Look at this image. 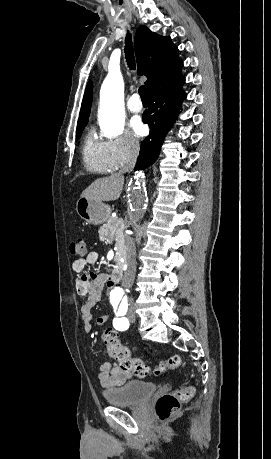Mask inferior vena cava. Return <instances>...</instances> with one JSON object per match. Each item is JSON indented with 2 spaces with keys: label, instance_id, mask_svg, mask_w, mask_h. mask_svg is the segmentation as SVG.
I'll use <instances>...</instances> for the list:
<instances>
[{
  "label": "inferior vena cava",
  "instance_id": "1",
  "mask_svg": "<svg viewBox=\"0 0 271 459\" xmlns=\"http://www.w3.org/2000/svg\"><path fill=\"white\" fill-rule=\"evenodd\" d=\"M134 166H135V162H128V164H125L123 168H120L119 174H125V172H131ZM127 275H129V271H126L124 275L123 285H125V287H131L133 279H130V277L129 279H127Z\"/></svg>",
  "mask_w": 271,
  "mask_h": 459
}]
</instances>
